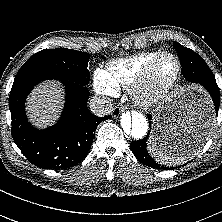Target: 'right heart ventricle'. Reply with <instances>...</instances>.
I'll use <instances>...</instances> for the list:
<instances>
[{
  "label": "right heart ventricle",
  "mask_w": 222,
  "mask_h": 222,
  "mask_svg": "<svg viewBox=\"0 0 222 222\" xmlns=\"http://www.w3.org/2000/svg\"><path fill=\"white\" fill-rule=\"evenodd\" d=\"M160 51H148L136 55L116 59L110 62L106 69L109 81L119 90L131 87L146 65L155 58Z\"/></svg>",
  "instance_id": "e07e8e85"
}]
</instances>
